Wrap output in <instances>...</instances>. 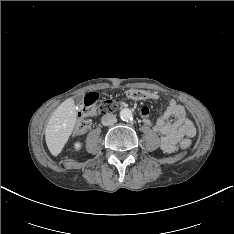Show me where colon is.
<instances>
[{"mask_svg":"<svg viewBox=\"0 0 234 234\" xmlns=\"http://www.w3.org/2000/svg\"><path fill=\"white\" fill-rule=\"evenodd\" d=\"M127 96L131 99H156L158 96L154 92L145 90H129ZM120 107L119 101L116 98L101 99L98 94L91 93L86 96L79 111V120L75 127L76 134L86 132L91 126V117L98 114H106L117 110ZM191 145L189 139H184L181 142L183 149H188Z\"/></svg>","mask_w":234,"mask_h":234,"instance_id":"5ec220e1","label":"colon"}]
</instances>
